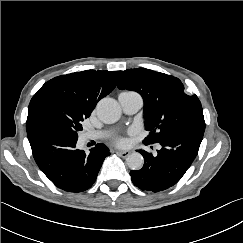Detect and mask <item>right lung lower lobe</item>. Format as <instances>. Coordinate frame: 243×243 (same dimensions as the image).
I'll use <instances>...</instances> for the list:
<instances>
[{"label":"right lung lower lobe","instance_id":"1","mask_svg":"<svg viewBox=\"0 0 243 243\" xmlns=\"http://www.w3.org/2000/svg\"><path fill=\"white\" fill-rule=\"evenodd\" d=\"M34 159L54 185L68 192H82L95 182L109 150L97 144L90 154L76 149L77 138L49 124L26 126Z\"/></svg>","mask_w":243,"mask_h":243}]
</instances>
